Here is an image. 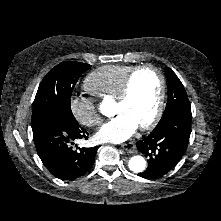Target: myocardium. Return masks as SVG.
<instances>
[{"label": "myocardium", "mask_w": 221, "mask_h": 221, "mask_svg": "<svg viewBox=\"0 0 221 221\" xmlns=\"http://www.w3.org/2000/svg\"><path fill=\"white\" fill-rule=\"evenodd\" d=\"M145 70H152L158 75L160 79V94H159L157 108H156L154 116L151 118L150 121L139 126L141 130H148V129L153 128L154 126H156V124L159 122V120L162 117V114L164 111V105H165V98H166V88H167L166 77L164 73L157 66L152 65V64L138 66L128 74V76L124 80L120 93L116 97L117 103L125 102L130 96L131 87H132L134 78L140 72L145 71Z\"/></svg>", "instance_id": "myocardium-1"}]
</instances>
